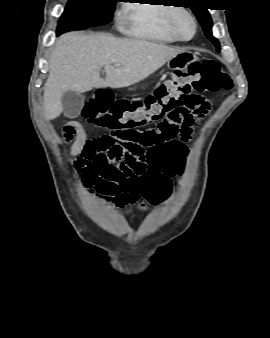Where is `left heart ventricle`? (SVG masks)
<instances>
[{
  "mask_svg": "<svg viewBox=\"0 0 270 338\" xmlns=\"http://www.w3.org/2000/svg\"><path fill=\"white\" fill-rule=\"evenodd\" d=\"M178 30L183 37L190 36L192 33V24L190 20L186 17L180 18L178 22Z\"/></svg>",
  "mask_w": 270,
  "mask_h": 338,
  "instance_id": "1",
  "label": "left heart ventricle"
}]
</instances>
